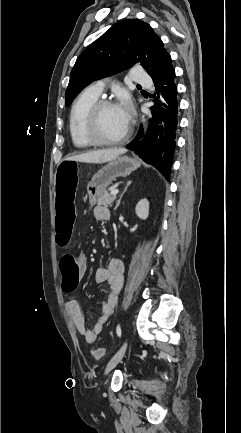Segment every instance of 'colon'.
Instances as JSON below:
<instances>
[{
    "mask_svg": "<svg viewBox=\"0 0 241 433\" xmlns=\"http://www.w3.org/2000/svg\"><path fill=\"white\" fill-rule=\"evenodd\" d=\"M80 167L78 157H64L57 165L55 173V197L54 208L57 209L55 228L58 230L57 242L61 247H66L69 235H72L77 207H74V196L76 194L77 180L79 178L76 168ZM60 274L63 276V289L72 291L76 288L79 277V267L74 257L66 253L60 260ZM95 360L105 357V350L94 349L91 352Z\"/></svg>",
    "mask_w": 241,
    "mask_h": 433,
    "instance_id": "1",
    "label": "colon"
}]
</instances>
